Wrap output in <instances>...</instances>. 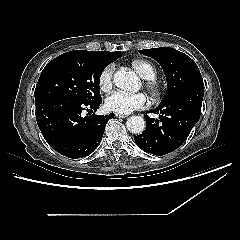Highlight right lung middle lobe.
<instances>
[{
	"instance_id": "1",
	"label": "right lung middle lobe",
	"mask_w": 240,
	"mask_h": 240,
	"mask_svg": "<svg viewBox=\"0 0 240 240\" xmlns=\"http://www.w3.org/2000/svg\"><path fill=\"white\" fill-rule=\"evenodd\" d=\"M122 56L101 51L74 50L66 52L43 69L37 82L35 99L62 95L83 103L101 100L99 81L105 67Z\"/></svg>"
}]
</instances>
